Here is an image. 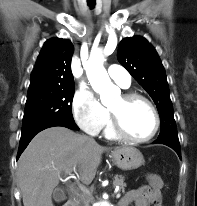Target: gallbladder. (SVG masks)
<instances>
[{
    "instance_id": "obj_1",
    "label": "gallbladder",
    "mask_w": 197,
    "mask_h": 206,
    "mask_svg": "<svg viewBox=\"0 0 197 206\" xmlns=\"http://www.w3.org/2000/svg\"><path fill=\"white\" fill-rule=\"evenodd\" d=\"M53 198L56 202H62L66 199V195L63 190L56 188L53 191Z\"/></svg>"
}]
</instances>
